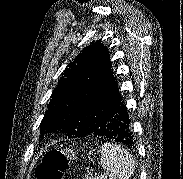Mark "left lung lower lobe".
Returning <instances> with one entry per match:
<instances>
[{
	"label": "left lung lower lobe",
	"instance_id": "0a47b994",
	"mask_svg": "<svg viewBox=\"0 0 183 179\" xmlns=\"http://www.w3.org/2000/svg\"><path fill=\"white\" fill-rule=\"evenodd\" d=\"M90 135L115 140L132 150L134 147V140L130 127V119L127 108L120 94L115 106L106 116L103 124L94 130Z\"/></svg>",
	"mask_w": 183,
	"mask_h": 179
}]
</instances>
